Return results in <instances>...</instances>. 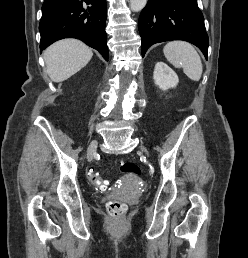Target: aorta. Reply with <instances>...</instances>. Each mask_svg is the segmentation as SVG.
I'll return each mask as SVG.
<instances>
[{"mask_svg": "<svg viewBox=\"0 0 248 258\" xmlns=\"http://www.w3.org/2000/svg\"><path fill=\"white\" fill-rule=\"evenodd\" d=\"M147 3V0H130V8L134 12L141 11Z\"/></svg>", "mask_w": 248, "mask_h": 258, "instance_id": "obj_1", "label": "aorta"}]
</instances>
